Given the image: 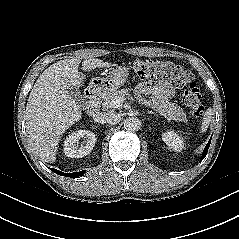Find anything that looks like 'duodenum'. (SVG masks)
Masks as SVG:
<instances>
[{"mask_svg":"<svg viewBox=\"0 0 239 239\" xmlns=\"http://www.w3.org/2000/svg\"><path fill=\"white\" fill-rule=\"evenodd\" d=\"M85 99L88 103V114L96 116L99 113L98 92L95 88H89L85 91Z\"/></svg>","mask_w":239,"mask_h":239,"instance_id":"410a0bca","label":"duodenum"}]
</instances>
